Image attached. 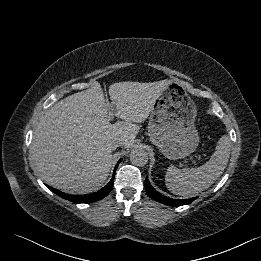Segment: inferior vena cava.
<instances>
[{"mask_svg":"<svg viewBox=\"0 0 261 261\" xmlns=\"http://www.w3.org/2000/svg\"><path fill=\"white\" fill-rule=\"evenodd\" d=\"M121 145H122V142H121L120 140H115V141L112 142L111 148H112L113 150H115L117 147H119V146H121Z\"/></svg>","mask_w":261,"mask_h":261,"instance_id":"1","label":"inferior vena cava"}]
</instances>
